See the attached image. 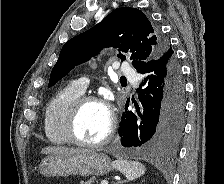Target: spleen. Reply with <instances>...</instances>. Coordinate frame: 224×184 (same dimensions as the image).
I'll use <instances>...</instances> for the list:
<instances>
[{"label":"spleen","instance_id":"1","mask_svg":"<svg viewBox=\"0 0 224 184\" xmlns=\"http://www.w3.org/2000/svg\"><path fill=\"white\" fill-rule=\"evenodd\" d=\"M113 166L123 173L128 180L137 179L146 171L145 166L137 161L116 160L113 162Z\"/></svg>","mask_w":224,"mask_h":184}]
</instances>
